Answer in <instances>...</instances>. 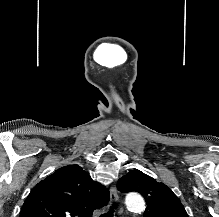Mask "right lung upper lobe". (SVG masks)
Returning a JSON list of instances; mask_svg holds the SVG:
<instances>
[{
  "label": "right lung upper lobe",
  "instance_id": "right-lung-upper-lobe-1",
  "mask_svg": "<svg viewBox=\"0 0 219 217\" xmlns=\"http://www.w3.org/2000/svg\"><path fill=\"white\" fill-rule=\"evenodd\" d=\"M109 191L82 167L64 166L41 180L30 192L20 217H92L107 205Z\"/></svg>",
  "mask_w": 219,
  "mask_h": 217
}]
</instances>
